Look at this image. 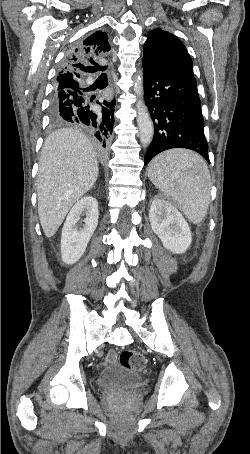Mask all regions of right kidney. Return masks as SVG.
I'll list each match as a JSON object with an SVG mask.
<instances>
[{
    "label": "right kidney",
    "instance_id": "ca27d5eb",
    "mask_svg": "<svg viewBox=\"0 0 250 454\" xmlns=\"http://www.w3.org/2000/svg\"><path fill=\"white\" fill-rule=\"evenodd\" d=\"M85 215L83 228L77 222ZM98 202L92 196L81 198L70 210L62 229L61 258L68 265L76 263L84 254L86 247L98 225Z\"/></svg>",
    "mask_w": 250,
    "mask_h": 454
}]
</instances>
